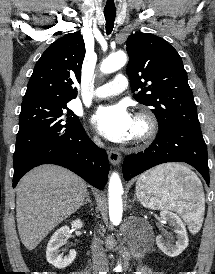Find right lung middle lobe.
Masks as SVG:
<instances>
[{
    "label": "right lung middle lobe",
    "mask_w": 215,
    "mask_h": 274,
    "mask_svg": "<svg viewBox=\"0 0 215 274\" xmlns=\"http://www.w3.org/2000/svg\"><path fill=\"white\" fill-rule=\"evenodd\" d=\"M19 125L14 163L42 144L77 131L82 126L67 107V101L50 100L22 105Z\"/></svg>",
    "instance_id": "obj_1"
}]
</instances>
